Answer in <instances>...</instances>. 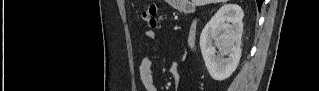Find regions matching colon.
<instances>
[{
	"label": "colon",
	"mask_w": 319,
	"mask_h": 91,
	"mask_svg": "<svg viewBox=\"0 0 319 91\" xmlns=\"http://www.w3.org/2000/svg\"><path fill=\"white\" fill-rule=\"evenodd\" d=\"M156 11V6L154 4H151L146 9H144L141 14L143 22L152 28H155L157 26Z\"/></svg>",
	"instance_id": "colon-1"
}]
</instances>
